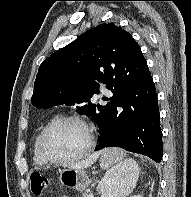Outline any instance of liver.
I'll use <instances>...</instances> for the list:
<instances>
[{
  "label": "liver",
  "mask_w": 191,
  "mask_h": 197,
  "mask_svg": "<svg viewBox=\"0 0 191 197\" xmlns=\"http://www.w3.org/2000/svg\"><path fill=\"white\" fill-rule=\"evenodd\" d=\"M101 153L102 152H96V153L90 155L85 160L69 164L68 167L72 168V169H85V168L91 166L97 160V158L99 157V155Z\"/></svg>",
  "instance_id": "1"
}]
</instances>
